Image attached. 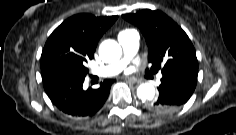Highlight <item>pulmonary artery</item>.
Returning a JSON list of instances; mask_svg holds the SVG:
<instances>
[{"mask_svg":"<svg viewBox=\"0 0 236 135\" xmlns=\"http://www.w3.org/2000/svg\"><path fill=\"white\" fill-rule=\"evenodd\" d=\"M118 40L123 48V57L109 65L93 69L91 71L92 74L104 77L117 75L125 68L129 60L136 54L139 48V35L136 32L120 34L118 35ZM161 77L162 75L158 76L159 79Z\"/></svg>","mask_w":236,"mask_h":135,"instance_id":"obj_1","label":"pulmonary artery"}]
</instances>
